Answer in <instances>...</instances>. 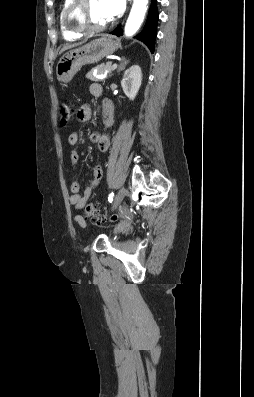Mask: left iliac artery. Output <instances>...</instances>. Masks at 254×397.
Returning <instances> with one entry per match:
<instances>
[{"mask_svg": "<svg viewBox=\"0 0 254 397\" xmlns=\"http://www.w3.org/2000/svg\"><path fill=\"white\" fill-rule=\"evenodd\" d=\"M113 197H114V193H111V194L109 195V202H112V201H113Z\"/></svg>", "mask_w": 254, "mask_h": 397, "instance_id": "1", "label": "left iliac artery"}]
</instances>
